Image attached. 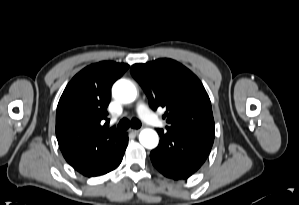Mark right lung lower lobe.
Returning a JSON list of instances; mask_svg holds the SVG:
<instances>
[{
  "instance_id": "obj_1",
  "label": "right lung lower lobe",
  "mask_w": 299,
  "mask_h": 205,
  "mask_svg": "<svg viewBox=\"0 0 299 205\" xmlns=\"http://www.w3.org/2000/svg\"><path fill=\"white\" fill-rule=\"evenodd\" d=\"M127 145L128 135L124 133L120 146L111 155H109L104 162L97 165L89 174L85 176L92 177L104 175L117 168L122 161Z\"/></svg>"
}]
</instances>
